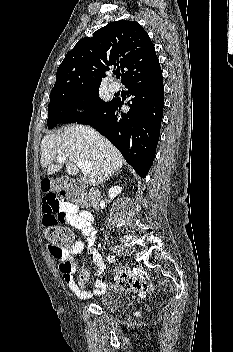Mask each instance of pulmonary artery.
Segmentation results:
<instances>
[{
    "mask_svg": "<svg viewBox=\"0 0 233 352\" xmlns=\"http://www.w3.org/2000/svg\"><path fill=\"white\" fill-rule=\"evenodd\" d=\"M110 89H111L113 92H117V91L120 90V85H119L117 82L112 81V82L110 83Z\"/></svg>",
    "mask_w": 233,
    "mask_h": 352,
    "instance_id": "1",
    "label": "pulmonary artery"
}]
</instances>
